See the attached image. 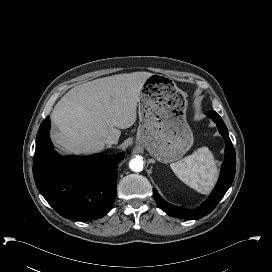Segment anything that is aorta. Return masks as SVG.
I'll use <instances>...</instances> for the list:
<instances>
[{"instance_id":"aorta-1","label":"aorta","mask_w":272,"mask_h":272,"mask_svg":"<svg viewBox=\"0 0 272 272\" xmlns=\"http://www.w3.org/2000/svg\"><path fill=\"white\" fill-rule=\"evenodd\" d=\"M129 167L134 172H140L143 170V160L140 157L133 158L129 162Z\"/></svg>"}]
</instances>
